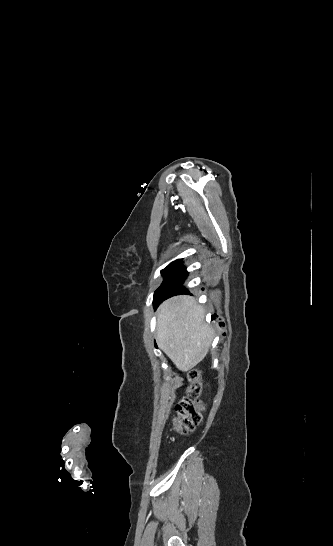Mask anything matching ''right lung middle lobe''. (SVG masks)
Instances as JSON below:
<instances>
[{"instance_id": "dd1d6c3e", "label": "right lung middle lobe", "mask_w": 333, "mask_h": 546, "mask_svg": "<svg viewBox=\"0 0 333 546\" xmlns=\"http://www.w3.org/2000/svg\"><path fill=\"white\" fill-rule=\"evenodd\" d=\"M181 260H176V261H173L172 263H170L165 269H163L161 271L162 275L165 276V274L171 269L173 268L176 264H178Z\"/></svg>"}]
</instances>
